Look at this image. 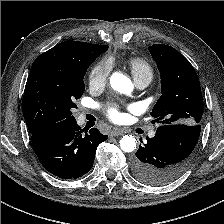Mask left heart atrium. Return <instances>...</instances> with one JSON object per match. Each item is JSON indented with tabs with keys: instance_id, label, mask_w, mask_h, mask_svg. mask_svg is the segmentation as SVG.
I'll use <instances>...</instances> for the list:
<instances>
[{
	"instance_id": "obj_1",
	"label": "left heart atrium",
	"mask_w": 224,
	"mask_h": 224,
	"mask_svg": "<svg viewBox=\"0 0 224 224\" xmlns=\"http://www.w3.org/2000/svg\"><path fill=\"white\" fill-rule=\"evenodd\" d=\"M108 117L113 121H118L120 119V113L116 107H109L107 109Z\"/></svg>"
}]
</instances>
